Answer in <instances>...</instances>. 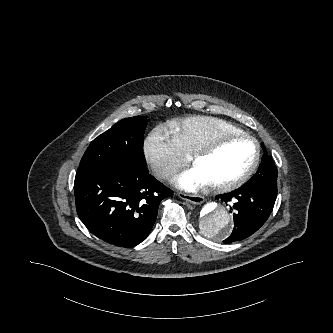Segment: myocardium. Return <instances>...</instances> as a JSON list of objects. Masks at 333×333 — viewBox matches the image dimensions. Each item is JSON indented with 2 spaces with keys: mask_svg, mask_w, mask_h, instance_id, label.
Returning <instances> with one entry per match:
<instances>
[{
  "mask_svg": "<svg viewBox=\"0 0 333 333\" xmlns=\"http://www.w3.org/2000/svg\"><path fill=\"white\" fill-rule=\"evenodd\" d=\"M235 139H243L251 141L255 145V155L253 158V161L251 162L250 166L237 178L234 180H231L226 183H220V184H208V188L217 193L222 192H228L235 190L242 185H244L253 175L255 170L257 169L260 157H261V146L259 141L250 134L247 133H223L219 134L212 139L208 140L204 144H202L200 147H198L196 150H194L190 155V163L194 165V163L207 155H209L213 150H215L220 144H222L225 141L228 140H235Z\"/></svg>",
  "mask_w": 333,
  "mask_h": 333,
  "instance_id": "obj_1",
  "label": "myocardium"
}]
</instances>
